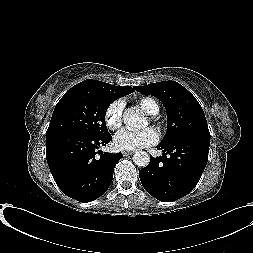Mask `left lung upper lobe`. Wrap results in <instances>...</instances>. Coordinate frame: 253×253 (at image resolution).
Listing matches in <instances>:
<instances>
[{
	"label": "left lung upper lobe",
	"mask_w": 253,
	"mask_h": 253,
	"mask_svg": "<svg viewBox=\"0 0 253 253\" xmlns=\"http://www.w3.org/2000/svg\"><path fill=\"white\" fill-rule=\"evenodd\" d=\"M139 92L158 98L166 108L167 132L161 143H167L184 135L210 138L204 112L196 98L175 81L135 86Z\"/></svg>",
	"instance_id": "5c2ea615"
}]
</instances>
